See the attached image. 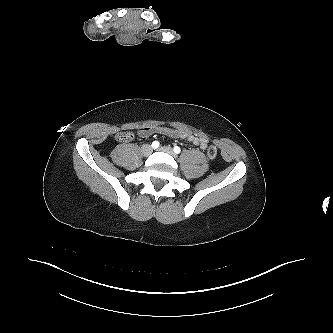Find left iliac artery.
Instances as JSON below:
<instances>
[{
    "mask_svg": "<svg viewBox=\"0 0 333 333\" xmlns=\"http://www.w3.org/2000/svg\"><path fill=\"white\" fill-rule=\"evenodd\" d=\"M174 152L177 153V154H179V153L181 152L180 147L175 146V147H174Z\"/></svg>",
    "mask_w": 333,
    "mask_h": 333,
    "instance_id": "left-iliac-artery-1",
    "label": "left iliac artery"
}]
</instances>
